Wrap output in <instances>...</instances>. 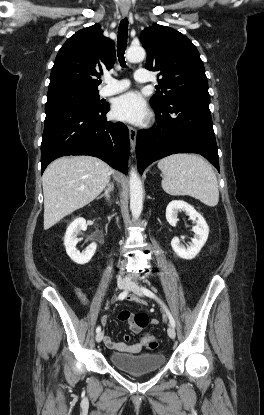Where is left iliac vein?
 Returning a JSON list of instances; mask_svg holds the SVG:
<instances>
[{
  "label": "left iliac vein",
  "instance_id": "1",
  "mask_svg": "<svg viewBox=\"0 0 264 415\" xmlns=\"http://www.w3.org/2000/svg\"><path fill=\"white\" fill-rule=\"evenodd\" d=\"M128 290L134 292L135 294H137L139 296L142 295L140 286L137 283H135V282H131L129 284ZM167 333H168L169 337L172 338V339H174L175 336H176V331H175V329H174V327L172 325H170L168 327Z\"/></svg>",
  "mask_w": 264,
  "mask_h": 415
}]
</instances>
